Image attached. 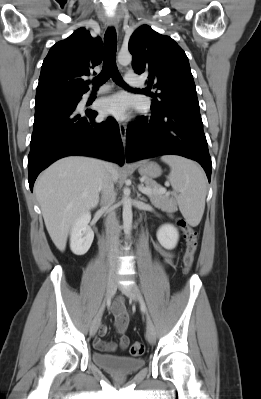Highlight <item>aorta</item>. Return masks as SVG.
<instances>
[{
    "label": "aorta",
    "instance_id": "aorta-1",
    "mask_svg": "<svg viewBox=\"0 0 261 399\" xmlns=\"http://www.w3.org/2000/svg\"><path fill=\"white\" fill-rule=\"evenodd\" d=\"M119 64L121 65H129L132 62V55L129 52H119L117 58ZM123 228L124 232L127 236H130L131 229H132V220H133V213H132V205H131V198H130V189L124 188L123 190Z\"/></svg>",
    "mask_w": 261,
    "mask_h": 399
}]
</instances>
